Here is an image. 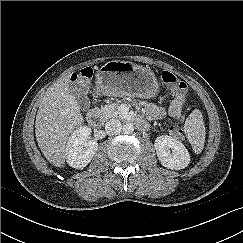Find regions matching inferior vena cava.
<instances>
[{
	"label": "inferior vena cava",
	"mask_w": 243,
	"mask_h": 243,
	"mask_svg": "<svg viewBox=\"0 0 243 243\" xmlns=\"http://www.w3.org/2000/svg\"><path fill=\"white\" fill-rule=\"evenodd\" d=\"M105 131L108 135H118L122 131V124L118 119H110L105 124Z\"/></svg>",
	"instance_id": "inferior-vena-cava-1"
}]
</instances>
